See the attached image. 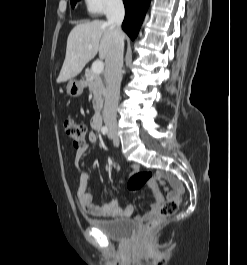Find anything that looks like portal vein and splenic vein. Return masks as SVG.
I'll return each instance as SVG.
<instances>
[{"instance_id":"portal-vein-and-splenic-vein-1","label":"portal vein and splenic vein","mask_w":247,"mask_h":265,"mask_svg":"<svg viewBox=\"0 0 247 265\" xmlns=\"http://www.w3.org/2000/svg\"><path fill=\"white\" fill-rule=\"evenodd\" d=\"M104 69V64L102 61L98 60V61H95L93 64H92V67H91V71L95 74H100L102 73Z\"/></svg>"}]
</instances>
